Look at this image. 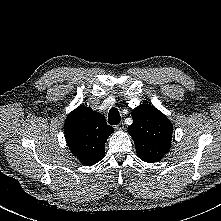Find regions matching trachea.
I'll return each mask as SVG.
<instances>
[{
  "label": "trachea",
  "instance_id": "obj_1",
  "mask_svg": "<svg viewBox=\"0 0 221 221\" xmlns=\"http://www.w3.org/2000/svg\"><path fill=\"white\" fill-rule=\"evenodd\" d=\"M121 121L120 113L118 109L111 108L108 114V123L111 125H117Z\"/></svg>",
  "mask_w": 221,
  "mask_h": 221
}]
</instances>
